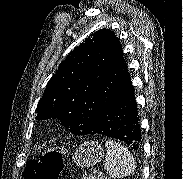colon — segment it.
I'll return each mask as SVG.
<instances>
[{
  "instance_id": "colon-1",
  "label": "colon",
  "mask_w": 183,
  "mask_h": 179,
  "mask_svg": "<svg viewBox=\"0 0 183 179\" xmlns=\"http://www.w3.org/2000/svg\"><path fill=\"white\" fill-rule=\"evenodd\" d=\"M64 168V151L47 149L40 159L30 161L25 169V179H59Z\"/></svg>"
}]
</instances>
